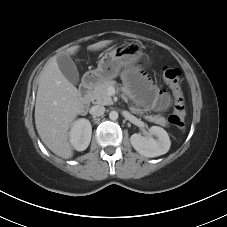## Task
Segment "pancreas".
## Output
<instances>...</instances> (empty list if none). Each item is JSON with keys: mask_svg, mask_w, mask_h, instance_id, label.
Segmentation results:
<instances>
[{"mask_svg": "<svg viewBox=\"0 0 227 227\" xmlns=\"http://www.w3.org/2000/svg\"><path fill=\"white\" fill-rule=\"evenodd\" d=\"M116 86V82L113 80H105L97 84L94 89L90 92V99L95 104L101 105H112L113 100L108 94V88ZM130 111L134 114H140L141 111L135 107H130ZM150 122H154L161 126H167V120L161 115L146 116Z\"/></svg>", "mask_w": 227, "mask_h": 227, "instance_id": "1", "label": "pancreas"}]
</instances>
